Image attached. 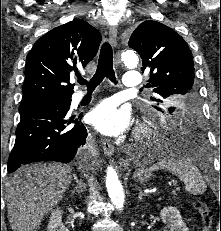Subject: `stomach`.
<instances>
[{"label":"stomach","mask_w":221,"mask_h":231,"mask_svg":"<svg viewBox=\"0 0 221 231\" xmlns=\"http://www.w3.org/2000/svg\"><path fill=\"white\" fill-rule=\"evenodd\" d=\"M151 176V173L145 169H139L134 173V178L140 183L148 181Z\"/></svg>","instance_id":"1"}]
</instances>
